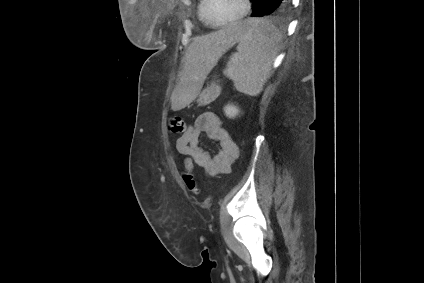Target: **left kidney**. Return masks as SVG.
Instances as JSON below:
<instances>
[{"mask_svg":"<svg viewBox=\"0 0 424 283\" xmlns=\"http://www.w3.org/2000/svg\"><path fill=\"white\" fill-rule=\"evenodd\" d=\"M224 113L229 118H235L240 114V109L232 104H228L224 107Z\"/></svg>","mask_w":424,"mask_h":283,"instance_id":"left-kidney-1","label":"left kidney"}]
</instances>
